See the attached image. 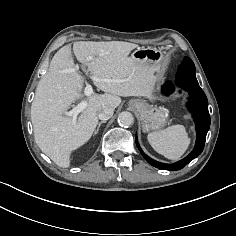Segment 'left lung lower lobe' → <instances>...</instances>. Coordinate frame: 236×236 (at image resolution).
<instances>
[{"mask_svg":"<svg viewBox=\"0 0 236 236\" xmlns=\"http://www.w3.org/2000/svg\"><path fill=\"white\" fill-rule=\"evenodd\" d=\"M175 83L177 86L187 91L191 99L188 104V107L191 110L193 118L195 120L197 132L196 144L192 152L187 157L176 163L164 164L148 157L140 148L136 137V145L143 157L147 160V162L150 163L152 166L163 170L182 169L190 161L200 155L203 151L206 135L210 127V115L208 112L207 97L198 84L195 75V65L190 58H184L182 64L178 69V74ZM173 91L174 85L170 82H166L163 86V92L165 94H169Z\"/></svg>","mask_w":236,"mask_h":236,"instance_id":"obj_1","label":"left lung lower lobe"}]
</instances>
